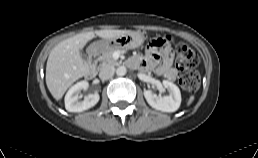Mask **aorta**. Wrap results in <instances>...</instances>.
I'll use <instances>...</instances> for the list:
<instances>
[{
    "label": "aorta",
    "mask_w": 258,
    "mask_h": 158,
    "mask_svg": "<svg viewBox=\"0 0 258 158\" xmlns=\"http://www.w3.org/2000/svg\"><path fill=\"white\" fill-rule=\"evenodd\" d=\"M118 76H124L127 73V69L125 66H119L116 70Z\"/></svg>",
    "instance_id": "aorta-1"
}]
</instances>
